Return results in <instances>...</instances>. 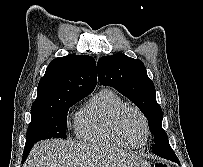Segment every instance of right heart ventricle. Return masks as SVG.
Wrapping results in <instances>:
<instances>
[{"instance_id": "right-heart-ventricle-1", "label": "right heart ventricle", "mask_w": 203, "mask_h": 167, "mask_svg": "<svg viewBox=\"0 0 203 167\" xmlns=\"http://www.w3.org/2000/svg\"><path fill=\"white\" fill-rule=\"evenodd\" d=\"M124 100L112 89L100 90L78 113L75 133L83 141L129 147L114 132L112 121Z\"/></svg>"}]
</instances>
